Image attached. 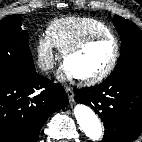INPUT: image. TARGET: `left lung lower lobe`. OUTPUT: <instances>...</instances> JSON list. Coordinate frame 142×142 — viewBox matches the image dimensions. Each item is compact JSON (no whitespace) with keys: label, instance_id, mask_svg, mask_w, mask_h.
<instances>
[{"label":"left lung lower lobe","instance_id":"left-lung-lower-lobe-1","mask_svg":"<svg viewBox=\"0 0 142 142\" xmlns=\"http://www.w3.org/2000/svg\"><path fill=\"white\" fill-rule=\"evenodd\" d=\"M76 101L89 105L104 122L101 142H132L142 132V78L104 80L79 90Z\"/></svg>","mask_w":142,"mask_h":142}]
</instances>
